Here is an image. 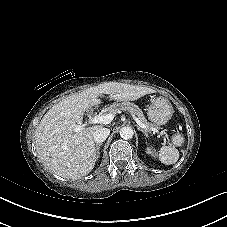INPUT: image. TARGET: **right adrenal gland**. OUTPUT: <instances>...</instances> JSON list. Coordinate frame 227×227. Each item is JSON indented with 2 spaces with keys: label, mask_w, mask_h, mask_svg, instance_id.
<instances>
[{
  "label": "right adrenal gland",
  "mask_w": 227,
  "mask_h": 227,
  "mask_svg": "<svg viewBox=\"0 0 227 227\" xmlns=\"http://www.w3.org/2000/svg\"><path fill=\"white\" fill-rule=\"evenodd\" d=\"M102 145V143L96 144L95 150H96V159L99 158L100 155V146Z\"/></svg>",
  "instance_id": "obj_1"
}]
</instances>
